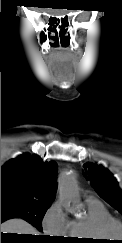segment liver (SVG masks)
Returning <instances> with one entry per match:
<instances>
[{
  "label": "liver",
  "instance_id": "6515ba94",
  "mask_svg": "<svg viewBox=\"0 0 122 243\" xmlns=\"http://www.w3.org/2000/svg\"><path fill=\"white\" fill-rule=\"evenodd\" d=\"M2 233L32 234L40 235L39 232L29 223L22 219H10L1 224Z\"/></svg>",
  "mask_w": 122,
  "mask_h": 243
}]
</instances>
